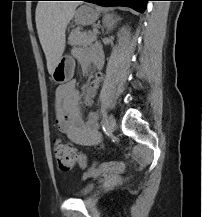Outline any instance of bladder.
<instances>
[{"mask_svg":"<svg viewBox=\"0 0 202 217\" xmlns=\"http://www.w3.org/2000/svg\"><path fill=\"white\" fill-rule=\"evenodd\" d=\"M112 177V176H110ZM95 184H88L86 185L84 188H82L78 194L77 197L80 199H84L87 198L89 195H91L93 193V191L95 190Z\"/></svg>","mask_w":202,"mask_h":217,"instance_id":"1","label":"bladder"}]
</instances>
